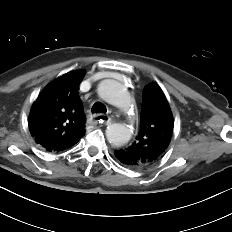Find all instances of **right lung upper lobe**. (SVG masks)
Instances as JSON below:
<instances>
[{
    "label": "right lung upper lobe",
    "instance_id": "obj_1",
    "mask_svg": "<svg viewBox=\"0 0 232 232\" xmlns=\"http://www.w3.org/2000/svg\"><path fill=\"white\" fill-rule=\"evenodd\" d=\"M85 70L70 71L49 83L30 110L28 126L35 142L61 152L85 135V115L78 95Z\"/></svg>",
    "mask_w": 232,
    "mask_h": 232
}]
</instances>
